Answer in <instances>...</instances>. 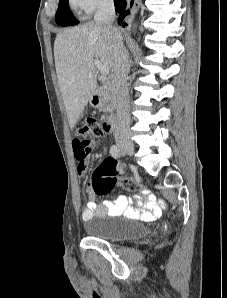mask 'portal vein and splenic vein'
Here are the masks:
<instances>
[{
    "instance_id": "1",
    "label": "portal vein and splenic vein",
    "mask_w": 227,
    "mask_h": 298,
    "mask_svg": "<svg viewBox=\"0 0 227 298\" xmlns=\"http://www.w3.org/2000/svg\"><path fill=\"white\" fill-rule=\"evenodd\" d=\"M95 67L100 71L102 76H107L109 74V68L103 65L99 60H94Z\"/></svg>"
}]
</instances>
